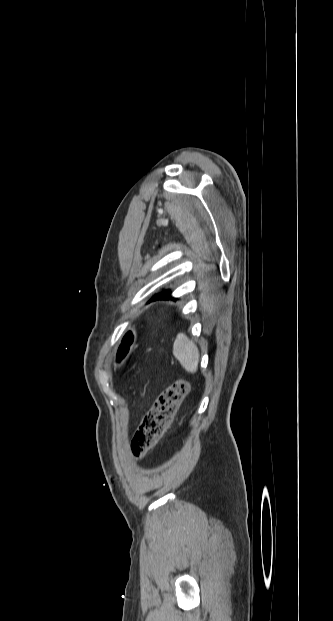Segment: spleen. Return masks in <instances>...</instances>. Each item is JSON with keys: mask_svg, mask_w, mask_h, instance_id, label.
<instances>
[{"mask_svg": "<svg viewBox=\"0 0 333 621\" xmlns=\"http://www.w3.org/2000/svg\"><path fill=\"white\" fill-rule=\"evenodd\" d=\"M173 355L183 368L192 374L197 372L199 363V350L184 334L178 335L173 344Z\"/></svg>", "mask_w": 333, "mask_h": 621, "instance_id": "obj_1", "label": "spleen"}]
</instances>
